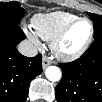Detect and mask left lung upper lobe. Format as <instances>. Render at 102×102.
Listing matches in <instances>:
<instances>
[{
    "mask_svg": "<svg viewBox=\"0 0 102 102\" xmlns=\"http://www.w3.org/2000/svg\"><path fill=\"white\" fill-rule=\"evenodd\" d=\"M94 23V38H102V16L88 12Z\"/></svg>",
    "mask_w": 102,
    "mask_h": 102,
    "instance_id": "1",
    "label": "left lung upper lobe"
}]
</instances>
